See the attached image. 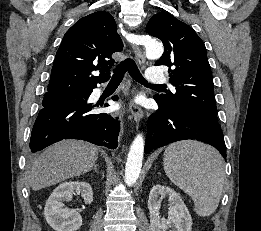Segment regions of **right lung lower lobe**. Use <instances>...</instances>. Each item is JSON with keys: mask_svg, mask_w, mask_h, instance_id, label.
<instances>
[{"mask_svg": "<svg viewBox=\"0 0 261 231\" xmlns=\"http://www.w3.org/2000/svg\"><path fill=\"white\" fill-rule=\"evenodd\" d=\"M96 88V87H94ZM92 88L84 98L44 107L35 121L31 139V152H37L62 139H82L96 145L115 149L120 121L106 113H94L98 105L88 103ZM113 96V100H117ZM103 106V104H101ZM105 104L104 107H107Z\"/></svg>", "mask_w": 261, "mask_h": 231, "instance_id": "right-lung-lower-lobe-1", "label": "right lung lower lobe"}]
</instances>
